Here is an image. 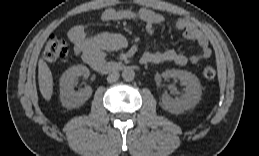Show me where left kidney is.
<instances>
[{
	"label": "left kidney",
	"mask_w": 259,
	"mask_h": 156,
	"mask_svg": "<svg viewBox=\"0 0 259 156\" xmlns=\"http://www.w3.org/2000/svg\"><path fill=\"white\" fill-rule=\"evenodd\" d=\"M162 76L167 78L179 79L185 86L184 94L177 99H173L167 94L161 98V107L173 114H179L197 105L201 99L202 90L197 76L185 70H166Z\"/></svg>",
	"instance_id": "1"
}]
</instances>
